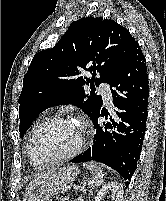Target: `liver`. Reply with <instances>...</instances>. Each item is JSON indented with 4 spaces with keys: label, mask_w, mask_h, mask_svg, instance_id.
Instances as JSON below:
<instances>
[{
    "label": "liver",
    "mask_w": 166,
    "mask_h": 201,
    "mask_svg": "<svg viewBox=\"0 0 166 201\" xmlns=\"http://www.w3.org/2000/svg\"><path fill=\"white\" fill-rule=\"evenodd\" d=\"M55 173V170H50L48 172H43L39 175H35L34 179L30 182L28 188L26 189L25 199L32 198V190L35 189L38 185H41L47 178ZM25 201V200H24Z\"/></svg>",
    "instance_id": "1"
}]
</instances>
